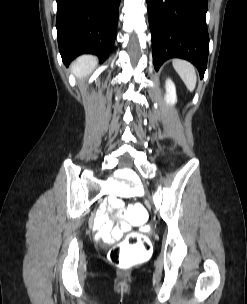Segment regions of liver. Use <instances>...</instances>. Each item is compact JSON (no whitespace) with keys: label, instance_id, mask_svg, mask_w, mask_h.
I'll return each instance as SVG.
<instances>
[{"label":"liver","instance_id":"6515ba94","mask_svg":"<svg viewBox=\"0 0 247 304\" xmlns=\"http://www.w3.org/2000/svg\"><path fill=\"white\" fill-rule=\"evenodd\" d=\"M97 60L93 56H82L78 58L72 65V71L78 78H82L92 72L96 67Z\"/></svg>","mask_w":247,"mask_h":304}]
</instances>
